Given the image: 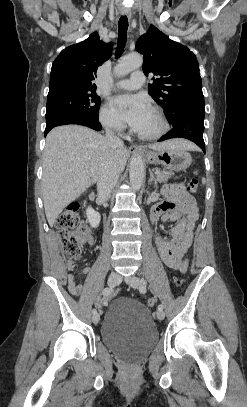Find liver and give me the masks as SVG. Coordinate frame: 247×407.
Listing matches in <instances>:
<instances>
[{"label": "liver", "instance_id": "obj_1", "mask_svg": "<svg viewBox=\"0 0 247 407\" xmlns=\"http://www.w3.org/2000/svg\"><path fill=\"white\" fill-rule=\"evenodd\" d=\"M152 150H195L184 139H173L149 146ZM128 151L113 147L101 134L79 125L52 129L46 137L43 152L42 194L45 214L52 227L62 210L110 167L124 170Z\"/></svg>", "mask_w": 247, "mask_h": 407}]
</instances>
